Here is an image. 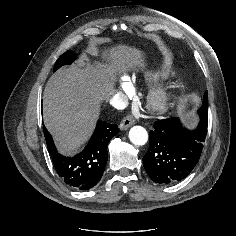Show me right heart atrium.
<instances>
[{
    "label": "right heart atrium",
    "instance_id": "d8ad5b80",
    "mask_svg": "<svg viewBox=\"0 0 236 236\" xmlns=\"http://www.w3.org/2000/svg\"><path fill=\"white\" fill-rule=\"evenodd\" d=\"M117 87L120 90L121 93L127 94L131 90V83L128 80L126 75H123L120 77L117 83Z\"/></svg>",
    "mask_w": 236,
    "mask_h": 236
}]
</instances>
